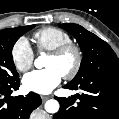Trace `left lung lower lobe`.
Wrapping results in <instances>:
<instances>
[{
    "instance_id": "1",
    "label": "left lung lower lobe",
    "mask_w": 119,
    "mask_h": 119,
    "mask_svg": "<svg viewBox=\"0 0 119 119\" xmlns=\"http://www.w3.org/2000/svg\"><path fill=\"white\" fill-rule=\"evenodd\" d=\"M64 88L81 90L76 98L55 97L60 103L53 119H119V74L106 73Z\"/></svg>"
}]
</instances>
